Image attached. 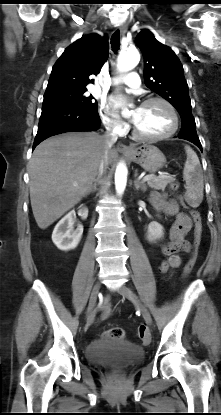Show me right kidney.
Segmentation results:
<instances>
[{
	"mask_svg": "<svg viewBox=\"0 0 221 415\" xmlns=\"http://www.w3.org/2000/svg\"><path fill=\"white\" fill-rule=\"evenodd\" d=\"M78 215L82 219L88 216L87 208L78 211ZM76 219L74 210L65 215L55 226L52 233V241L58 249L68 251L77 247L83 234V226L79 224L76 229L73 225Z\"/></svg>",
	"mask_w": 221,
	"mask_h": 415,
	"instance_id": "right-kidney-1",
	"label": "right kidney"
}]
</instances>
